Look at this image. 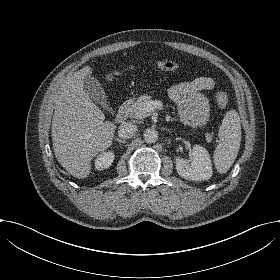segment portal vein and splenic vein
Instances as JSON below:
<instances>
[{
    "label": "portal vein and splenic vein",
    "mask_w": 280,
    "mask_h": 280,
    "mask_svg": "<svg viewBox=\"0 0 280 280\" xmlns=\"http://www.w3.org/2000/svg\"><path fill=\"white\" fill-rule=\"evenodd\" d=\"M162 106V103L160 101H150L146 103L144 111L146 112H152L154 111L157 107Z\"/></svg>",
    "instance_id": "18ae733b"
}]
</instances>
